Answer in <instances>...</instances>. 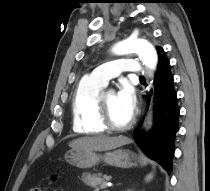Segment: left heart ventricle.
<instances>
[{
    "instance_id": "1",
    "label": "left heart ventricle",
    "mask_w": 210,
    "mask_h": 191,
    "mask_svg": "<svg viewBox=\"0 0 210 191\" xmlns=\"http://www.w3.org/2000/svg\"><path fill=\"white\" fill-rule=\"evenodd\" d=\"M110 118L112 122L117 126L125 125L131 119V115H129L119 104L117 101V97L115 94H108L104 97Z\"/></svg>"
}]
</instances>
